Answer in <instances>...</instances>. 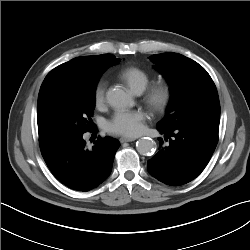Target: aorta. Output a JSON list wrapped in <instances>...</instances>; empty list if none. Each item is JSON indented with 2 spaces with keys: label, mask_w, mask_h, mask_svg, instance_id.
<instances>
[{
  "label": "aorta",
  "mask_w": 250,
  "mask_h": 250,
  "mask_svg": "<svg viewBox=\"0 0 250 250\" xmlns=\"http://www.w3.org/2000/svg\"><path fill=\"white\" fill-rule=\"evenodd\" d=\"M106 99L112 107L118 109L126 108L132 102L131 96L118 87L109 88ZM136 149L141 155H152L156 150V143L151 138L144 137L137 141Z\"/></svg>",
  "instance_id": "762f6f07"
}]
</instances>
